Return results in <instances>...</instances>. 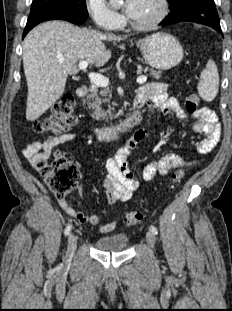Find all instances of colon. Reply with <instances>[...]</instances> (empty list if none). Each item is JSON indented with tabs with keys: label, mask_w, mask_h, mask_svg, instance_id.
Returning <instances> with one entry per match:
<instances>
[{
	"label": "colon",
	"mask_w": 232,
	"mask_h": 311,
	"mask_svg": "<svg viewBox=\"0 0 232 311\" xmlns=\"http://www.w3.org/2000/svg\"><path fill=\"white\" fill-rule=\"evenodd\" d=\"M199 96L194 92L187 94L185 108L188 113H195L199 105ZM75 102L72 96L65 95L60 98L53 107L51 114L34 122L33 131L36 134L46 135L48 140L58 136L70 128L76 120ZM36 167L45 178L50 190L58 196H65L72 192L79 180L78 169L69 164L61 153L57 152L53 158L39 159ZM184 176L182 169H177L172 174L173 183L178 182ZM143 219V213L131 211L125 215V223L129 226L139 224Z\"/></svg>",
	"instance_id": "colon-1"
}]
</instances>
